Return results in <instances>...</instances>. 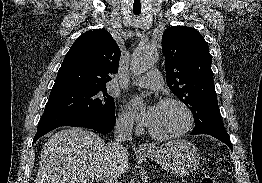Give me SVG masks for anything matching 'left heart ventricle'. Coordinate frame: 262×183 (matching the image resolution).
<instances>
[{
	"instance_id": "b2bd125f",
	"label": "left heart ventricle",
	"mask_w": 262,
	"mask_h": 183,
	"mask_svg": "<svg viewBox=\"0 0 262 183\" xmlns=\"http://www.w3.org/2000/svg\"><path fill=\"white\" fill-rule=\"evenodd\" d=\"M187 124L186 112L177 104L157 106L154 120L150 125L155 133L169 135L183 129Z\"/></svg>"
}]
</instances>
